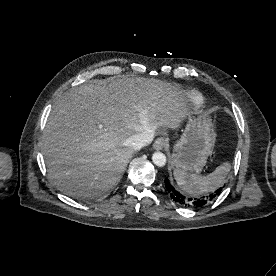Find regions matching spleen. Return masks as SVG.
<instances>
[{
    "label": "spleen",
    "instance_id": "3e777b00",
    "mask_svg": "<svg viewBox=\"0 0 276 276\" xmlns=\"http://www.w3.org/2000/svg\"><path fill=\"white\" fill-rule=\"evenodd\" d=\"M230 168V163L224 162L218 166L215 171L206 176L186 173L179 170H174L173 174L177 184L184 192L197 196L214 191L222 186Z\"/></svg>",
    "mask_w": 276,
    "mask_h": 276
}]
</instances>
